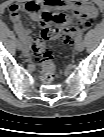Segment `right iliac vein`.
Listing matches in <instances>:
<instances>
[{
  "mask_svg": "<svg viewBox=\"0 0 104 137\" xmlns=\"http://www.w3.org/2000/svg\"><path fill=\"white\" fill-rule=\"evenodd\" d=\"M17 49L20 50V51L24 50L23 44L20 41L17 42Z\"/></svg>",
  "mask_w": 104,
  "mask_h": 137,
  "instance_id": "right-iliac-vein-1",
  "label": "right iliac vein"
}]
</instances>
